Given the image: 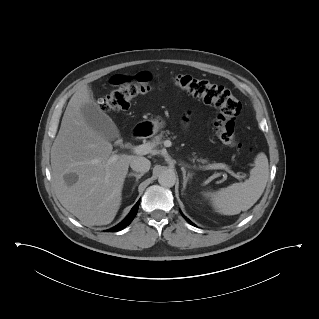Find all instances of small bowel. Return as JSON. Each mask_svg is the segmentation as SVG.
Wrapping results in <instances>:
<instances>
[{
    "label": "small bowel",
    "instance_id": "c3829d8e",
    "mask_svg": "<svg viewBox=\"0 0 319 319\" xmlns=\"http://www.w3.org/2000/svg\"><path fill=\"white\" fill-rule=\"evenodd\" d=\"M143 74H144L145 76H147V77L149 76L148 73H143Z\"/></svg>",
    "mask_w": 319,
    "mask_h": 319
}]
</instances>
